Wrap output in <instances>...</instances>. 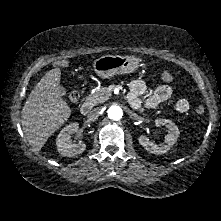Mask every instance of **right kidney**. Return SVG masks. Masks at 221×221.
I'll use <instances>...</instances> for the list:
<instances>
[{"mask_svg":"<svg viewBox=\"0 0 221 221\" xmlns=\"http://www.w3.org/2000/svg\"><path fill=\"white\" fill-rule=\"evenodd\" d=\"M79 124L77 122L71 123L64 127L56 139V145L58 152L67 157H73L78 154L83 153L86 150V144L79 142L77 144H72L70 139V134L77 132Z\"/></svg>","mask_w":221,"mask_h":221,"instance_id":"right-kidney-1","label":"right kidney"}]
</instances>
